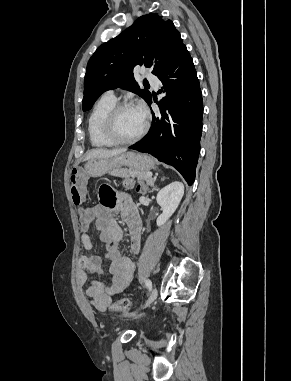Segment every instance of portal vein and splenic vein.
I'll list each match as a JSON object with an SVG mask.
<instances>
[{
  "label": "portal vein and splenic vein",
  "instance_id": "1",
  "mask_svg": "<svg viewBox=\"0 0 291 381\" xmlns=\"http://www.w3.org/2000/svg\"><path fill=\"white\" fill-rule=\"evenodd\" d=\"M152 175H153L152 173H147L148 177H152Z\"/></svg>",
  "mask_w": 291,
  "mask_h": 381
}]
</instances>
